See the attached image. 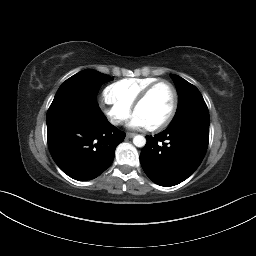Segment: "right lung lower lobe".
Instances as JSON below:
<instances>
[{
	"label": "right lung lower lobe",
	"instance_id": "obj_1",
	"mask_svg": "<svg viewBox=\"0 0 256 256\" xmlns=\"http://www.w3.org/2000/svg\"><path fill=\"white\" fill-rule=\"evenodd\" d=\"M88 101L79 108L58 109L47 114V140L58 167L75 180L99 176L112 163L125 133L109 123L87 85Z\"/></svg>",
	"mask_w": 256,
	"mask_h": 256
}]
</instances>
